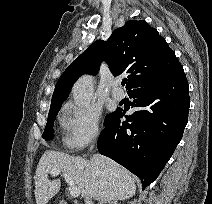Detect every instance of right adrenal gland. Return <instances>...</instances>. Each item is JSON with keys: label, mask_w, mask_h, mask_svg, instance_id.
I'll return each instance as SVG.
<instances>
[{"label": "right adrenal gland", "mask_w": 212, "mask_h": 204, "mask_svg": "<svg viewBox=\"0 0 212 204\" xmlns=\"http://www.w3.org/2000/svg\"><path fill=\"white\" fill-rule=\"evenodd\" d=\"M98 204H107V201H100ZM108 204H117L116 201L108 202Z\"/></svg>", "instance_id": "right-adrenal-gland-1"}]
</instances>
